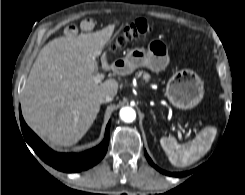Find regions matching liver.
Wrapping results in <instances>:
<instances>
[{
    "instance_id": "6515ba94",
    "label": "liver",
    "mask_w": 245,
    "mask_h": 195,
    "mask_svg": "<svg viewBox=\"0 0 245 195\" xmlns=\"http://www.w3.org/2000/svg\"><path fill=\"white\" fill-rule=\"evenodd\" d=\"M115 25L76 37H59L46 44L29 73L22 97L28 126L54 146H72L90 129L100 110L102 94L113 97L118 83L96 84L97 58L109 42ZM102 67L113 70L106 54Z\"/></svg>"
}]
</instances>
